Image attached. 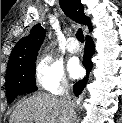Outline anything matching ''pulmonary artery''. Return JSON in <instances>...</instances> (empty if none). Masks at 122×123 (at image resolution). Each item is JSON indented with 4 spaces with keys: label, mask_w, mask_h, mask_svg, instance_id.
Segmentation results:
<instances>
[{
    "label": "pulmonary artery",
    "mask_w": 122,
    "mask_h": 123,
    "mask_svg": "<svg viewBox=\"0 0 122 123\" xmlns=\"http://www.w3.org/2000/svg\"><path fill=\"white\" fill-rule=\"evenodd\" d=\"M66 49L70 53H76L79 50V44L77 40L73 37L69 38L67 43H66Z\"/></svg>",
    "instance_id": "obj_1"
}]
</instances>
